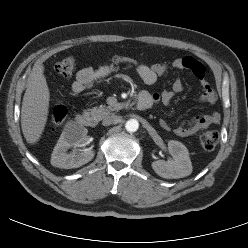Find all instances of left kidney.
I'll return each mask as SVG.
<instances>
[{"mask_svg":"<svg viewBox=\"0 0 248 248\" xmlns=\"http://www.w3.org/2000/svg\"><path fill=\"white\" fill-rule=\"evenodd\" d=\"M168 149L172 160H158L152 163L153 170L161 177L177 179L192 173V164L187 148L179 141L170 140Z\"/></svg>","mask_w":248,"mask_h":248,"instance_id":"obj_1","label":"left kidney"}]
</instances>
